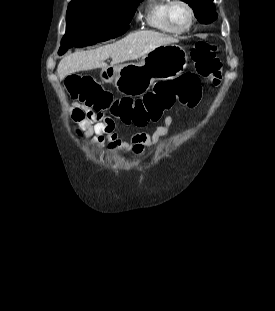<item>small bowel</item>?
<instances>
[{
    "label": "small bowel",
    "mask_w": 275,
    "mask_h": 311,
    "mask_svg": "<svg viewBox=\"0 0 275 311\" xmlns=\"http://www.w3.org/2000/svg\"><path fill=\"white\" fill-rule=\"evenodd\" d=\"M221 76L211 79L213 85H218ZM72 117L84 128L85 135L96 148H102L106 144L110 153L119 150H130L136 154H143L146 147L157 145L162 138L170 133L174 118L167 115L163 124L158 126L152 133L139 132L134 134L129 141L115 133L114 121L105 117L103 113L95 112L90 107L73 104L71 107Z\"/></svg>",
    "instance_id": "small-bowel-1"
}]
</instances>
